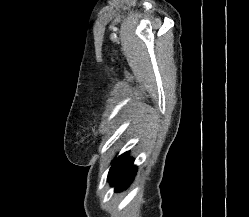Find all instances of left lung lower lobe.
I'll use <instances>...</instances> for the list:
<instances>
[{"instance_id": "obj_1", "label": "left lung lower lobe", "mask_w": 249, "mask_h": 217, "mask_svg": "<svg viewBox=\"0 0 249 217\" xmlns=\"http://www.w3.org/2000/svg\"><path fill=\"white\" fill-rule=\"evenodd\" d=\"M136 170L133 160L129 158V152H126L114 160L108 180L115 186V191H121L132 182Z\"/></svg>"}]
</instances>
